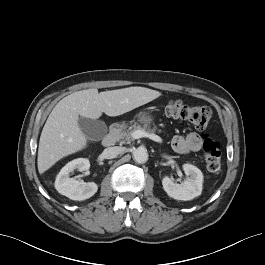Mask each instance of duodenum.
Returning a JSON list of instances; mask_svg holds the SVG:
<instances>
[{
    "label": "duodenum",
    "mask_w": 265,
    "mask_h": 265,
    "mask_svg": "<svg viewBox=\"0 0 265 265\" xmlns=\"http://www.w3.org/2000/svg\"><path fill=\"white\" fill-rule=\"evenodd\" d=\"M121 127L120 123H115L111 126L109 133L103 139L105 147H111L116 143L121 133Z\"/></svg>",
    "instance_id": "duodenum-1"
}]
</instances>
